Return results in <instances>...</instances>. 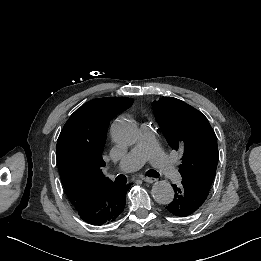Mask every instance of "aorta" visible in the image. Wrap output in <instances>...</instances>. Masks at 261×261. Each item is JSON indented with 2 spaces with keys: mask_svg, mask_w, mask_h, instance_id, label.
I'll use <instances>...</instances> for the list:
<instances>
[{
  "mask_svg": "<svg viewBox=\"0 0 261 261\" xmlns=\"http://www.w3.org/2000/svg\"><path fill=\"white\" fill-rule=\"evenodd\" d=\"M111 136L120 145L130 146L138 139V128L128 119H118L111 126ZM154 200L159 204L167 205L174 199V190L165 180L157 181L151 189Z\"/></svg>",
  "mask_w": 261,
  "mask_h": 261,
  "instance_id": "762f6f07",
  "label": "aorta"
}]
</instances>
